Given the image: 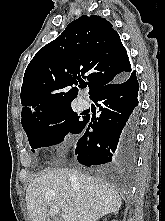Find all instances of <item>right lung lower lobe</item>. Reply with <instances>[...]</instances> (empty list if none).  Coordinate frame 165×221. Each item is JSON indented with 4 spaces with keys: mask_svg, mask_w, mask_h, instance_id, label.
<instances>
[{
    "mask_svg": "<svg viewBox=\"0 0 165 221\" xmlns=\"http://www.w3.org/2000/svg\"><path fill=\"white\" fill-rule=\"evenodd\" d=\"M138 81L136 73L99 88L91 97L97 104L99 117L93 124L89 118L77 133L90 126L79 139L77 160L85 165L114 164L129 169L136 160L135 108L138 105Z\"/></svg>",
    "mask_w": 165,
    "mask_h": 221,
    "instance_id": "obj_1",
    "label": "right lung lower lobe"
}]
</instances>
